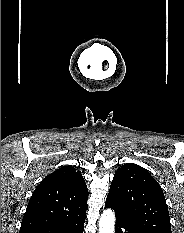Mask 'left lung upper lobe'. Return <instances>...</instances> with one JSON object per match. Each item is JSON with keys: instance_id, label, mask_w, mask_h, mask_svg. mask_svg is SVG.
I'll return each mask as SVG.
<instances>
[{"instance_id": "5c2ea615", "label": "left lung upper lobe", "mask_w": 184, "mask_h": 233, "mask_svg": "<svg viewBox=\"0 0 184 233\" xmlns=\"http://www.w3.org/2000/svg\"><path fill=\"white\" fill-rule=\"evenodd\" d=\"M105 203L123 214L142 233H172L162 188L137 164L126 163L117 169Z\"/></svg>"}]
</instances>
